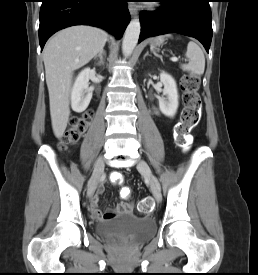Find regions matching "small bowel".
I'll return each mask as SVG.
<instances>
[{"label": "small bowel", "instance_id": "obj_1", "mask_svg": "<svg viewBox=\"0 0 258 275\" xmlns=\"http://www.w3.org/2000/svg\"><path fill=\"white\" fill-rule=\"evenodd\" d=\"M103 190H104L103 183L97 184L94 190L95 194L94 195L92 194L93 197L91 198V201H90V211L94 217L96 218L102 217V218L110 219L115 217L117 213H128L132 210L133 204L131 202L123 201V202H120L115 209L102 212L98 206H99V194H101Z\"/></svg>", "mask_w": 258, "mask_h": 275}]
</instances>
